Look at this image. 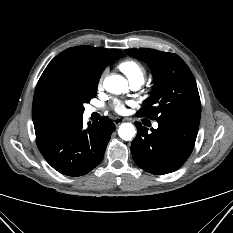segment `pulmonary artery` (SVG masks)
Returning a JSON list of instances; mask_svg holds the SVG:
<instances>
[{
  "label": "pulmonary artery",
  "instance_id": "1",
  "mask_svg": "<svg viewBox=\"0 0 233 233\" xmlns=\"http://www.w3.org/2000/svg\"><path fill=\"white\" fill-rule=\"evenodd\" d=\"M141 84H142L141 81L133 82V83H131V87H132L134 90H136V89H138V88L141 86ZM95 111H96V109L93 108V107H90V108H88V110H87L88 114H91V113H93V112H95ZM158 126H159V125H158L157 122H154V123H153V128L157 129Z\"/></svg>",
  "mask_w": 233,
  "mask_h": 233
}]
</instances>
